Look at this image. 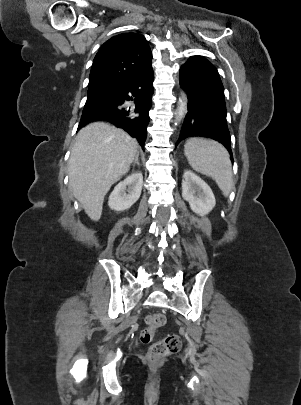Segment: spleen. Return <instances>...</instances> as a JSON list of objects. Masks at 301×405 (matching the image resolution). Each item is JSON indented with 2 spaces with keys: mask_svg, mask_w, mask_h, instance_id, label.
I'll return each instance as SVG.
<instances>
[{
  "mask_svg": "<svg viewBox=\"0 0 301 405\" xmlns=\"http://www.w3.org/2000/svg\"><path fill=\"white\" fill-rule=\"evenodd\" d=\"M190 166L197 172L213 178L225 196L232 188V166L229 154L218 142L191 138L184 145Z\"/></svg>",
  "mask_w": 301,
  "mask_h": 405,
  "instance_id": "obj_1",
  "label": "spleen"
}]
</instances>
